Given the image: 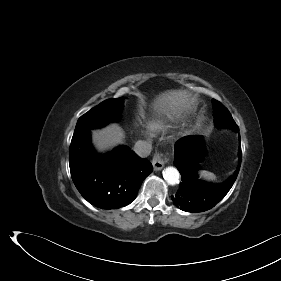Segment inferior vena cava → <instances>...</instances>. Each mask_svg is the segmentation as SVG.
I'll list each match as a JSON object with an SVG mask.
<instances>
[{"label": "inferior vena cava", "mask_w": 281, "mask_h": 281, "mask_svg": "<svg viewBox=\"0 0 281 281\" xmlns=\"http://www.w3.org/2000/svg\"><path fill=\"white\" fill-rule=\"evenodd\" d=\"M133 149L140 157H147L151 153L152 144L150 141L139 140L135 143Z\"/></svg>", "instance_id": "inferior-vena-cava-1"}]
</instances>
